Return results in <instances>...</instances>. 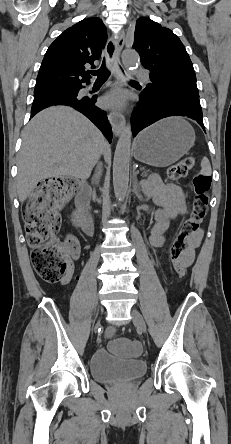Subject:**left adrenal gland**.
I'll return each mask as SVG.
<instances>
[{"mask_svg":"<svg viewBox=\"0 0 231 444\" xmlns=\"http://www.w3.org/2000/svg\"><path fill=\"white\" fill-rule=\"evenodd\" d=\"M133 189H134V193L137 196V198L140 201H144V198L142 197V195L140 194V191H139L138 180H137L136 176H135V181H134Z\"/></svg>","mask_w":231,"mask_h":444,"instance_id":"1","label":"left adrenal gland"}]
</instances>
